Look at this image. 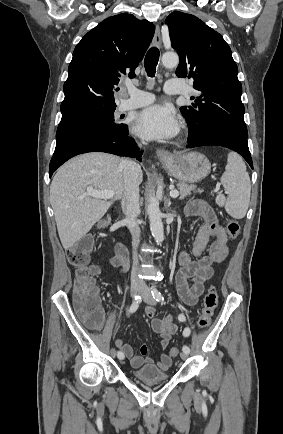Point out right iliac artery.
Listing matches in <instances>:
<instances>
[{"instance_id":"1","label":"right iliac artery","mask_w":283,"mask_h":434,"mask_svg":"<svg viewBox=\"0 0 283 434\" xmlns=\"http://www.w3.org/2000/svg\"><path fill=\"white\" fill-rule=\"evenodd\" d=\"M140 302H141V296L136 295L134 301L132 302V304L128 310V314L135 312L138 309ZM117 356L120 360L124 359V356L121 352H118Z\"/></svg>"}]
</instances>
